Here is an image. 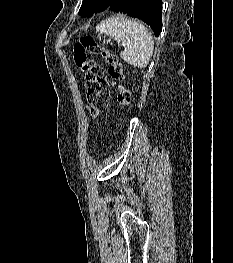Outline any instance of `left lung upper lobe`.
Masks as SVG:
<instances>
[{"mask_svg": "<svg viewBox=\"0 0 233 263\" xmlns=\"http://www.w3.org/2000/svg\"><path fill=\"white\" fill-rule=\"evenodd\" d=\"M115 0H83L79 14L90 17L94 13L102 12L109 8Z\"/></svg>", "mask_w": 233, "mask_h": 263, "instance_id": "left-lung-upper-lobe-1", "label": "left lung upper lobe"}]
</instances>
